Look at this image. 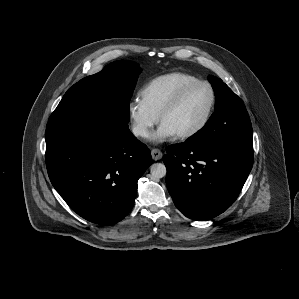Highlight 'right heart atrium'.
<instances>
[{
    "label": "right heart atrium",
    "mask_w": 299,
    "mask_h": 299,
    "mask_svg": "<svg viewBox=\"0 0 299 299\" xmlns=\"http://www.w3.org/2000/svg\"><path fill=\"white\" fill-rule=\"evenodd\" d=\"M128 115L132 131L139 138L148 137L159 119L140 99H134L128 104Z\"/></svg>",
    "instance_id": "1"
}]
</instances>
